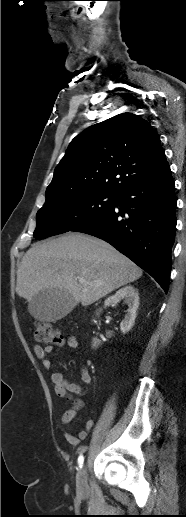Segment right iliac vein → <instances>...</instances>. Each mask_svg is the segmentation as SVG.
Returning <instances> with one entry per match:
<instances>
[{"mask_svg": "<svg viewBox=\"0 0 186 517\" xmlns=\"http://www.w3.org/2000/svg\"><path fill=\"white\" fill-rule=\"evenodd\" d=\"M76 486L78 492L80 493L85 492L87 488L86 469L84 466L79 470L77 474Z\"/></svg>", "mask_w": 186, "mask_h": 517, "instance_id": "obj_1", "label": "right iliac vein"}]
</instances>
